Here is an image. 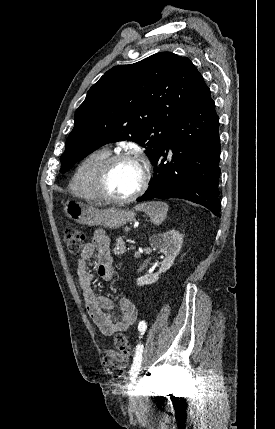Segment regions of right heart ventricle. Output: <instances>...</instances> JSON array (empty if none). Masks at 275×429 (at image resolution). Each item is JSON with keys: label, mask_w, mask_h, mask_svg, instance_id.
Here are the masks:
<instances>
[{"label": "right heart ventricle", "mask_w": 275, "mask_h": 429, "mask_svg": "<svg viewBox=\"0 0 275 429\" xmlns=\"http://www.w3.org/2000/svg\"><path fill=\"white\" fill-rule=\"evenodd\" d=\"M110 155V149L102 147L89 153L78 164L69 184L74 195L87 201L99 199L94 190V177L99 166Z\"/></svg>", "instance_id": "1"}]
</instances>
